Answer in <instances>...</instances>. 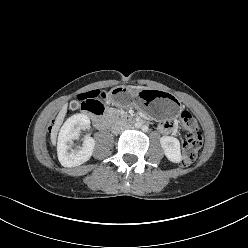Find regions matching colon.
<instances>
[{
  "label": "colon",
  "instance_id": "colon-1",
  "mask_svg": "<svg viewBox=\"0 0 248 248\" xmlns=\"http://www.w3.org/2000/svg\"><path fill=\"white\" fill-rule=\"evenodd\" d=\"M106 91H90L80 95L79 100L84 108L89 107L102 113L104 106L101 98L105 97ZM180 125L185 131L186 138L182 145V165L193 163L202 145V135L198 123L188 111H183L180 115Z\"/></svg>",
  "mask_w": 248,
  "mask_h": 248
}]
</instances>
